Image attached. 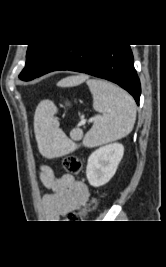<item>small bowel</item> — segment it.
Segmentation results:
<instances>
[{
  "label": "small bowel",
  "mask_w": 166,
  "mask_h": 267,
  "mask_svg": "<svg viewBox=\"0 0 166 267\" xmlns=\"http://www.w3.org/2000/svg\"><path fill=\"white\" fill-rule=\"evenodd\" d=\"M40 179L50 190L42 199L43 209L48 219L58 220L69 212L84 206L89 198L87 186L70 174L57 176L54 170L43 165L40 168Z\"/></svg>",
  "instance_id": "small-bowel-1"
}]
</instances>
